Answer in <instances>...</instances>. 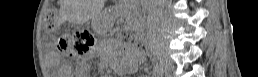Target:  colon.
Returning <instances> with one entry per match:
<instances>
[{"instance_id":"obj_1","label":"colon","mask_w":258,"mask_h":77,"mask_svg":"<svg viewBox=\"0 0 258 77\" xmlns=\"http://www.w3.org/2000/svg\"><path fill=\"white\" fill-rule=\"evenodd\" d=\"M45 30L52 32L55 27L54 13L49 10L45 19ZM94 36L91 32L86 30H80L73 33L68 39H63L60 42L63 50H71L77 53L88 51L94 44ZM134 52H140L144 49L143 44L136 42L131 45Z\"/></svg>"}]
</instances>
